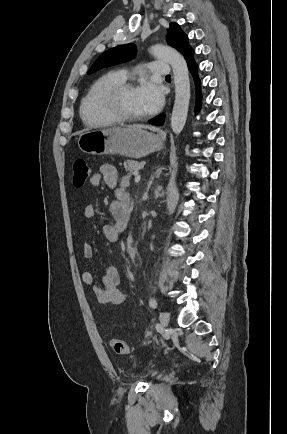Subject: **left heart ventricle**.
Here are the masks:
<instances>
[{"label": "left heart ventricle", "instance_id": "left-heart-ventricle-1", "mask_svg": "<svg viewBox=\"0 0 287 434\" xmlns=\"http://www.w3.org/2000/svg\"><path fill=\"white\" fill-rule=\"evenodd\" d=\"M121 105L123 110L129 115L139 116L146 114L139 103L136 89H129L124 92L121 98Z\"/></svg>", "mask_w": 287, "mask_h": 434}]
</instances>
